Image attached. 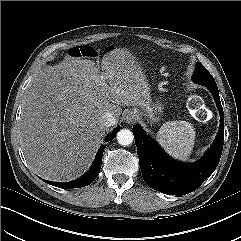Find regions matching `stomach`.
Returning <instances> with one entry per match:
<instances>
[{"mask_svg": "<svg viewBox=\"0 0 241 241\" xmlns=\"http://www.w3.org/2000/svg\"><path fill=\"white\" fill-rule=\"evenodd\" d=\"M163 107L162 104L158 101H150L149 103H146L142 106H140V109L135 108L134 112H136L139 115L146 116L149 118L152 122H158L159 116L162 113Z\"/></svg>", "mask_w": 241, "mask_h": 241, "instance_id": "0dacf381", "label": "stomach"}]
</instances>
